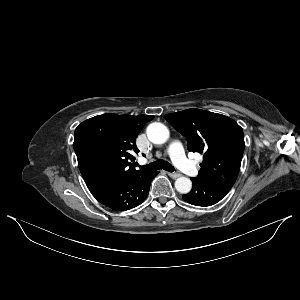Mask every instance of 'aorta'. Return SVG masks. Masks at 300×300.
<instances>
[{"label":"aorta","mask_w":300,"mask_h":300,"mask_svg":"<svg viewBox=\"0 0 300 300\" xmlns=\"http://www.w3.org/2000/svg\"><path fill=\"white\" fill-rule=\"evenodd\" d=\"M146 132L148 139L154 144H163L169 138L168 128L159 122L151 123ZM175 188L179 193L187 194L192 188V182L187 177H179L175 181Z\"/></svg>","instance_id":"762f6f07"}]
</instances>
